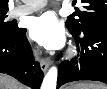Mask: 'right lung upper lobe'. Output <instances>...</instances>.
Listing matches in <instances>:
<instances>
[{"label":"right lung upper lobe","mask_w":107,"mask_h":89,"mask_svg":"<svg viewBox=\"0 0 107 89\" xmlns=\"http://www.w3.org/2000/svg\"><path fill=\"white\" fill-rule=\"evenodd\" d=\"M8 11V0H0V13Z\"/></svg>","instance_id":"cb5924a9"}]
</instances>
